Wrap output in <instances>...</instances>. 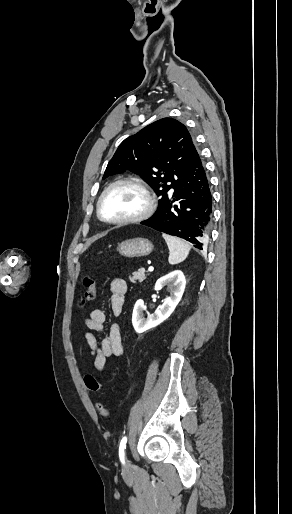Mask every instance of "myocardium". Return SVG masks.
<instances>
[{
  "label": "myocardium",
  "instance_id": "1",
  "mask_svg": "<svg viewBox=\"0 0 292 514\" xmlns=\"http://www.w3.org/2000/svg\"><path fill=\"white\" fill-rule=\"evenodd\" d=\"M119 186H131V187H134V188L138 189L139 191H141V193L143 194L144 199H145V205L140 212H138L137 214H134L132 216L122 218V219H106L103 217L102 210H101L103 199L111 190H113L114 188L119 187ZM153 209H154V200H153V197H152L149 189L147 188V186L145 185V183L143 181H141L139 179H134V178L118 180V181L111 183L108 187H106L103 190V192L100 194L98 201H97V215H98L99 219L105 223L115 224V225H126V224H131V223H135V222L144 220L145 218H147L148 216L151 215V213L153 212Z\"/></svg>",
  "mask_w": 292,
  "mask_h": 514
}]
</instances>
